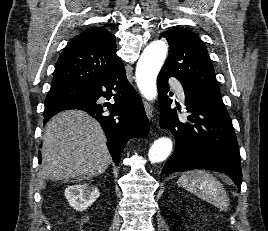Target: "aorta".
I'll list each match as a JSON object with an SVG mask.
<instances>
[{"instance_id":"obj_1","label":"aorta","mask_w":268,"mask_h":231,"mask_svg":"<svg viewBox=\"0 0 268 231\" xmlns=\"http://www.w3.org/2000/svg\"><path fill=\"white\" fill-rule=\"evenodd\" d=\"M168 53V44L164 40L151 42L142 52L136 67V82L141 94L147 100L157 96L156 79ZM172 141L161 137L154 141L149 149L148 158L152 163L167 159L172 151Z\"/></svg>"}]
</instances>
